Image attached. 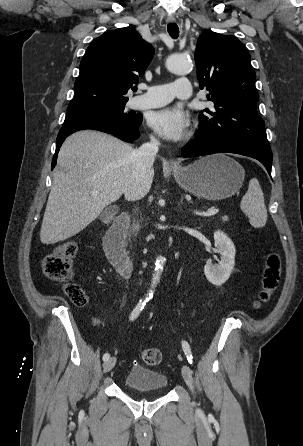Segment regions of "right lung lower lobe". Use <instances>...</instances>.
<instances>
[{
    "label": "right lung lower lobe",
    "mask_w": 303,
    "mask_h": 446,
    "mask_svg": "<svg viewBox=\"0 0 303 446\" xmlns=\"http://www.w3.org/2000/svg\"><path fill=\"white\" fill-rule=\"evenodd\" d=\"M141 122L132 126L106 117H86L65 123L57 136L56 151L51 168L53 169L56 165L57 153L63 141L73 132L84 129L99 130L110 133L123 141L132 142L139 136L138 127L141 125Z\"/></svg>",
    "instance_id": "1"
}]
</instances>
